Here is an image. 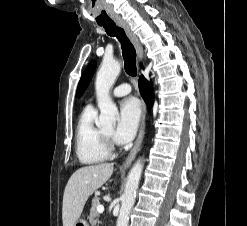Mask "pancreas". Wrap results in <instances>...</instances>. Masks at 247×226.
<instances>
[{
  "label": "pancreas",
  "instance_id": "obj_1",
  "mask_svg": "<svg viewBox=\"0 0 247 226\" xmlns=\"http://www.w3.org/2000/svg\"><path fill=\"white\" fill-rule=\"evenodd\" d=\"M98 197H94L92 200V207L90 209V215H89V222L91 223L92 226H94L99 218V214L97 212V206L100 204Z\"/></svg>",
  "mask_w": 247,
  "mask_h": 226
}]
</instances>
